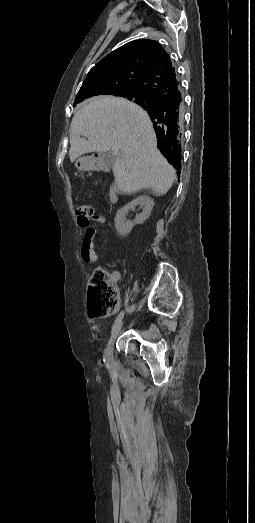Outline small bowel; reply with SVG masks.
Returning <instances> with one entry per match:
<instances>
[{"label":"small bowel","mask_w":255,"mask_h":523,"mask_svg":"<svg viewBox=\"0 0 255 523\" xmlns=\"http://www.w3.org/2000/svg\"><path fill=\"white\" fill-rule=\"evenodd\" d=\"M93 219L99 223L106 222V217L103 215H96L93 217ZM96 238L97 229L93 226L87 227L84 232L81 244V257L87 263L96 262L98 259L97 253L95 251ZM120 277L121 276L119 272L112 273V279L115 282V284L119 282Z\"/></svg>","instance_id":"small-bowel-1"}]
</instances>
